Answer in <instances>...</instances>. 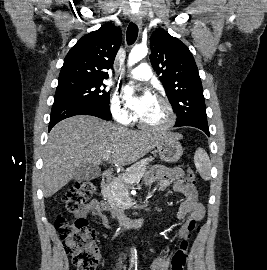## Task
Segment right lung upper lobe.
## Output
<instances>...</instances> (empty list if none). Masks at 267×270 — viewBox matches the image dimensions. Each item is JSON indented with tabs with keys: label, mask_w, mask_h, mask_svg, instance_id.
<instances>
[{
	"label": "right lung upper lobe",
	"mask_w": 267,
	"mask_h": 270,
	"mask_svg": "<svg viewBox=\"0 0 267 270\" xmlns=\"http://www.w3.org/2000/svg\"><path fill=\"white\" fill-rule=\"evenodd\" d=\"M121 29L111 23L82 38L65 57L59 78L107 79L121 44Z\"/></svg>",
	"instance_id": "right-lung-upper-lobe-1"
}]
</instances>
